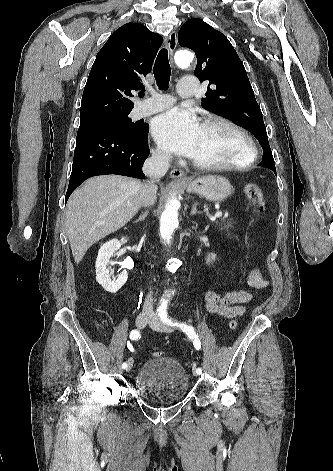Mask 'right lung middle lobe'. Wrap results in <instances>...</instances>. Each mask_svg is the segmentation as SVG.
<instances>
[{
  "instance_id": "dd1d6c3e",
  "label": "right lung middle lobe",
  "mask_w": 333,
  "mask_h": 471,
  "mask_svg": "<svg viewBox=\"0 0 333 471\" xmlns=\"http://www.w3.org/2000/svg\"><path fill=\"white\" fill-rule=\"evenodd\" d=\"M131 111L105 114L93 118L82 119L79 129L92 127H112L129 133H137L142 130L143 125L133 123L128 117Z\"/></svg>"
}]
</instances>
